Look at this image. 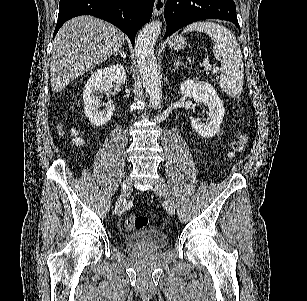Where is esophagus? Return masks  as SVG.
Wrapping results in <instances>:
<instances>
[{"instance_id":"1","label":"esophagus","mask_w":307,"mask_h":301,"mask_svg":"<svg viewBox=\"0 0 307 301\" xmlns=\"http://www.w3.org/2000/svg\"><path fill=\"white\" fill-rule=\"evenodd\" d=\"M165 6V0H155L154 9H153V16L157 17L163 13Z\"/></svg>"}]
</instances>
